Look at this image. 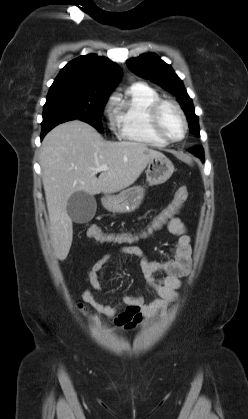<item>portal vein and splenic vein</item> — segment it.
I'll use <instances>...</instances> for the list:
<instances>
[{"label":"portal vein and splenic vein","instance_id":"obj_1","mask_svg":"<svg viewBox=\"0 0 248 419\" xmlns=\"http://www.w3.org/2000/svg\"><path fill=\"white\" fill-rule=\"evenodd\" d=\"M96 172H101V171H108L109 168L106 164L100 165L97 168L93 169Z\"/></svg>","mask_w":248,"mask_h":419}]
</instances>
